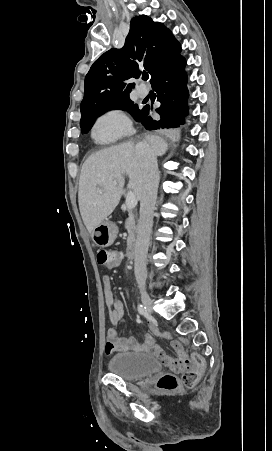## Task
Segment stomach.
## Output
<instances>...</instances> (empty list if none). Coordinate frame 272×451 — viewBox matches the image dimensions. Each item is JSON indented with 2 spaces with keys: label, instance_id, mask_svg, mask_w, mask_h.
I'll list each match as a JSON object with an SVG mask.
<instances>
[{
  "label": "stomach",
  "instance_id": "0dacf381",
  "mask_svg": "<svg viewBox=\"0 0 272 451\" xmlns=\"http://www.w3.org/2000/svg\"><path fill=\"white\" fill-rule=\"evenodd\" d=\"M91 235L96 245H99V247H108L116 239L117 227L112 222H101V224L94 227Z\"/></svg>",
  "mask_w": 272,
  "mask_h": 451
}]
</instances>
